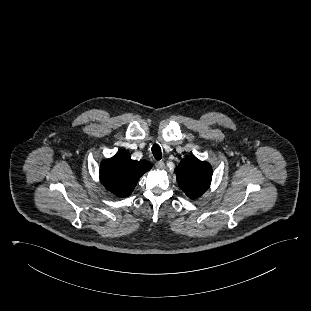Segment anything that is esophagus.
<instances>
[{"label":"esophagus","instance_id":"obj_1","mask_svg":"<svg viewBox=\"0 0 311 311\" xmlns=\"http://www.w3.org/2000/svg\"><path fill=\"white\" fill-rule=\"evenodd\" d=\"M156 168L157 169H160V170H163L165 169V164L163 161H158L156 164H155Z\"/></svg>","mask_w":311,"mask_h":311}]
</instances>
